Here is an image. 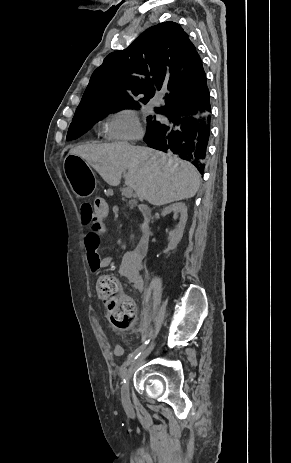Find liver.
Instances as JSON below:
<instances>
[{"label": "liver", "mask_w": 291, "mask_h": 463, "mask_svg": "<svg viewBox=\"0 0 291 463\" xmlns=\"http://www.w3.org/2000/svg\"><path fill=\"white\" fill-rule=\"evenodd\" d=\"M69 155L85 160L110 186H118L127 170L125 184L140 201L155 206L192 198L200 186V174L192 164L148 147L86 144L71 149Z\"/></svg>", "instance_id": "liver-1"}]
</instances>
